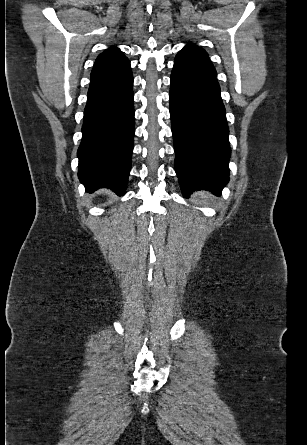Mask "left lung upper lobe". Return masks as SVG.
Returning a JSON list of instances; mask_svg holds the SVG:
<instances>
[{"label": "left lung upper lobe", "mask_w": 307, "mask_h": 445, "mask_svg": "<svg viewBox=\"0 0 307 445\" xmlns=\"http://www.w3.org/2000/svg\"><path fill=\"white\" fill-rule=\"evenodd\" d=\"M177 55L198 63L200 66L205 67L216 75V70L211 63L208 54L203 49L193 44H188Z\"/></svg>", "instance_id": "5c2ea615"}]
</instances>
